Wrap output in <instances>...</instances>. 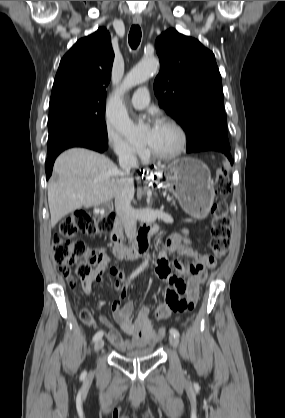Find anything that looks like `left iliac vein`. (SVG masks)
<instances>
[{"mask_svg":"<svg viewBox=\"0 0 285 418\" xmlns=\"http://www.w3.org/2000/svg\"><path fill=\"white\" fill-rule=\"evenodd\" d=\"M169 343L174 348H178L179 347V340H178L177 337H175L173 335H170V337H169Z\"/></svg>","mask_w":285,"mask_h":418,"instance_id":"4c4485c4","label":"left iliac vein"}]
</instances>
